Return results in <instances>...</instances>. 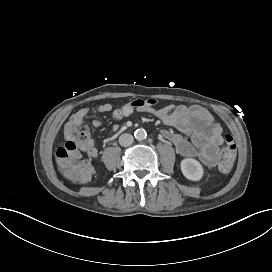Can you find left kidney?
<instances>
[{
  "mask_svg": "<svg viewBox=\"0 0 272 272\" xmlns=\"http://www.w3.org/2000/svg\"><path fill=\"white\" fill-rule=\"evenodd\" d=\"M183 175L192 181H199L203 176L202 165L195 159L186 158L181 161Z\"/></svg>",
  "mask_w": 272,
  "mask_h": 272,
  "instance_id": "left-kidney-1",
  "label": "left kidney"
}]
</instances>
